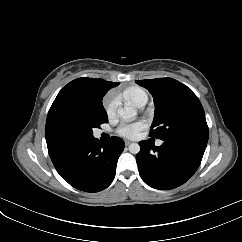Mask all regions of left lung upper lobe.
I'll list each match as a JSON object with an SVG mask.
<instances>
[{"mask_svg":"<svg viewBox=\"0 0 242 242\" xmlns=\"http://www.w3.org/2000/svg\"><path fill=\"white\" fill-rule=\"evenodd\" d=\"M154 98L155 116L150 136L166 142L201 141L207 143L209 129L198 97L172 78L137 80Z\"/></svg>","mask_w":242,"mask_h":242,"instance_id":"obj_1","label":"left lung upper lobe"}]
</instances>
